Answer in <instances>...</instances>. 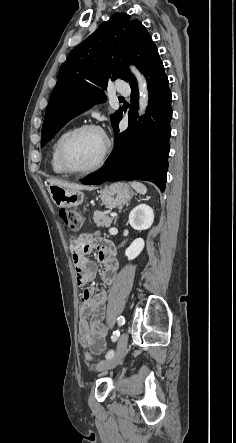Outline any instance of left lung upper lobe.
<instances>
[{
    "instance_id": "left-lung-upper-lobe-1",
    "label": "left lung upper lobe",
    "mask_w": 236,
    "mask_h": 443,
    "mask_svg": "<svg viewBox=\"0 0 236 443\" xmlns=\"http://www.w3.org/2000/svg\"><path fill=\"white\" fill-rule=\"evenodd\" d=\"M155 47L146 28L126 13H115L84 42L71 51L62 64L47 106L42 144L69 120L105 98L108 80H134L132 63L141 71ZM121 114L111 116L112 126Z\"/></svg>"
}]
</instances>
